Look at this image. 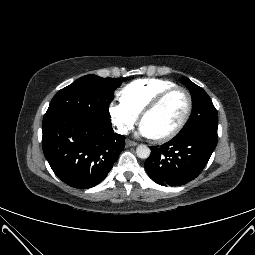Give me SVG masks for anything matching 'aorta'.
I'll list each match as a JSON object with an SVG mask.
<instances>
[{
  "instance_id": "762f6f07",
  "label": "aorta",
  "mask_w": 255,
  "mask_h": 255,
  "mask_svg": "<svg viewBox=\"0 0 255 255\" xmlns=\"http://www.w3.org/2000/svg\"><path fill=\"white\" fill-rule=\"evenodd\" d=\"M136 154L141 159H147L151 154V150L146 145L141 144L136 148Z\"/></svg>"
}]
</instances>
